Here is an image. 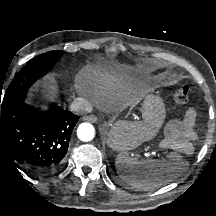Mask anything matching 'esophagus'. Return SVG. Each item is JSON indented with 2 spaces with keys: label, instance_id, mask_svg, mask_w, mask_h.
I'll list each match as a JSON object with an SVG mask.
<instances>
[{
  "label": "esophagus",
  "instance_id": "1",
  "mask_svg": "<svg viewBox=\"0 0 216 216\" xmlns=\"http://www.w3.org/2000/svg\"><path fill=\"white\" fill-rule=\"evenodd\" d=\"M83 120L91 122V123H95L97 122L98 118L96 115H87L83 117Z\"/></svg>",
  "mask_w": 216,
  "mask_h": 216
}]
</instances>
